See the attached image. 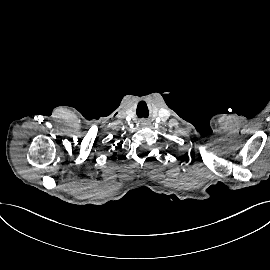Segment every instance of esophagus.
<instances>
[{
  "mask_svg": "<svg viewBox=\"0 0 270 270\" xmlns=\"http://www.w3.org/2000/svg\"><path fill=\"white\" fill-rule=\"evenodd\" d=\"M141 125L146 126L147 125V121L146 120H142L141 121Z\"/></svg>",
  "mask_w": 270,
  "mask_h": 270,
  "instance_id": "obj_1",
  "label": "esophagus"
}]
</instances>
